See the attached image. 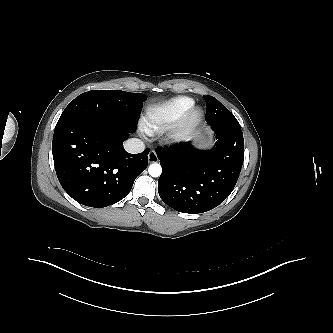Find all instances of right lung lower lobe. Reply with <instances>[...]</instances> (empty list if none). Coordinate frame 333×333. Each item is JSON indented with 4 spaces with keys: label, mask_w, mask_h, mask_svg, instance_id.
<instances>
[{
    "label": "right lung lower lobe",
    "mask_w": 333,
    "mask_h": 333,
    "mask_svg": "<svg viewBox=\"0 0 333 333\" xmlns=\"http://www.w3.org/2000/svg\"><path fill=\"white\" fill-rule=\"evenodd\" d=\"M134 131L109 124L57 123L52 153L63 189L89 207H106L126 197L148 165V149L130 154L123 148Z\"/></svg>",
    "instance_id": "obj_1"
}]
</instances>
